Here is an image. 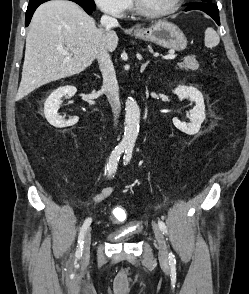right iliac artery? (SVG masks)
I'll use <instances>...</instances> for the list:
<instances>
[{"mask_svg":"<svg viewBox=\"0 0 249 294\" xmlns=\"http://www.w3.org/2000/svg\"><path fill=\"white\" fill-rule=\"evenodd\" d=\"M126 148L127 147L125 145L120 144V145L116 146L115 149L112 151L110 158H109V161L107 163L108 176H113V174H115L120 156L126 150ZM91 222H92V219L90 217H88L84 221L83 226L80 230L76 254H75L77 259H80V257L82 256L83 244H84V234H85L87 228L90 226Z\"/></svg>","mask_w":249,"mask_h":294,"instance_id":"1","label":"right iliac artery"}]
</instances>
